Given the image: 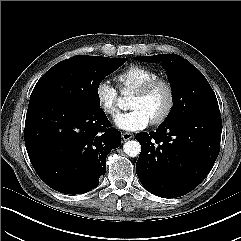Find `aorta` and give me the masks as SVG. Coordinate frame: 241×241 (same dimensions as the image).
I'll return each mask as SVG.
<instances>
[{
    "mask_svg": "<svg viewBox=\"0 0 241 241\" xmlns=\"http://www.w3.org/2000/svg\"><path fill=\"white\" fill-rule=\"evenodd\" d=\"M123 150L129 157H136L141 152V145L136 140H129L123 145Z\"/></svg>",
    "mask_w": 241,
    "mask_h": 241,
    "instance_id": "762f6f07",
    "label": "aorta"
}]
</instances>
